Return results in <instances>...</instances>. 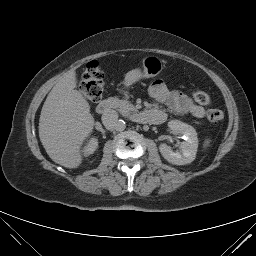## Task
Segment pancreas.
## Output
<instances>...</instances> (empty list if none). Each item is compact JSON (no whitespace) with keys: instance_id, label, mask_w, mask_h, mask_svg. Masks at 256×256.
Segmentation results:
<instances>
[{"instance_id":"cf45deb5","label":"pancreas","mask_w":256,"mask_h":256,"mask_svg":"<svg viewBox=\"0 0 256 256\" xmlns=\"http://www.w3.org/2000/svg\"><path fill=\"white\" fill-rule=\"evenodd\" d=\"M112 107L117 109L122 115H129L130 111L136 110V108L128 100L118 99L116 97L111 98Z\"/></svg>"}]
</instances>
